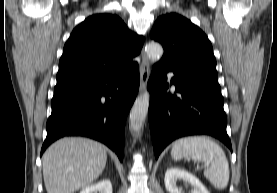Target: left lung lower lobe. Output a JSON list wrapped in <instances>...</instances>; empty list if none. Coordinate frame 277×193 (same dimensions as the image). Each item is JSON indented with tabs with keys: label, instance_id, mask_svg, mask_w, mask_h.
Masks as SVG:
<instances>
[{
	"label": "left lung lower lobe",
	"instance_id": "0a47b994",
	"mask_svg": "<svg viewBox=\"0 0 277 193\" xmlns=\"http://www.w3.org/2000/svg\"><path fill=\"white\" fill-rule=\"evenodd\" d=\"M167 72L172 71L156 64L148 84L149 126L155 157L173 140L199 134L218 138L232 151L218 77L174 73L171 84L179 96H172L166 93Z\"/></svg>",
	"mask_w": 277,
	"mask_h": 193
}]
</instances>
